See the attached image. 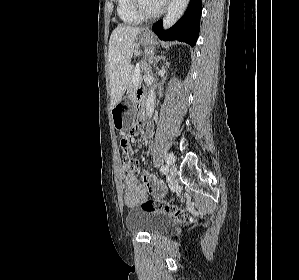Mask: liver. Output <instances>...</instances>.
<instances>
[{"label":"liver","instance_id":"obj_1","mask_svg":"<svg viewBox=\"0 0 299 280\" xmlns=\"http://www.w3.org/2000/svg\"><path fill=\"white\" fill-rule=\"evenodd\" d=\"M144 28L118 26L109 40L108 62L111 85V109L122 99L131 78V58L135 40Z\"/></svg>","mask_w":299,"mask_h":280}]
</instances>
